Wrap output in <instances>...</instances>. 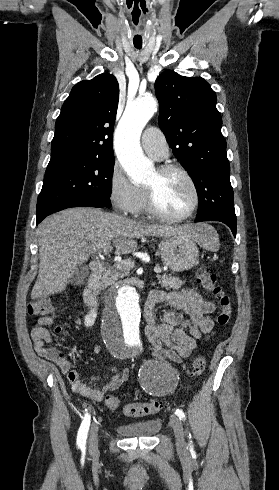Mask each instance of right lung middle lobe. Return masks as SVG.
Here are the masks:
<instances>
[{
    "instance_id": "right-lung-middle-lobe-1",
    "label": "right lung middle lobe",
    "mask_w": 279,
    "mask_h": 490,
    "mask_svg": "<svg viewBox=\"0 0 279 490\" xmlns=\"http://www.w3.org/2000/svg\"><path fill=\"white\" fill-rule=\"evenodd\" d=\"M113 153L49 163L37 200V215L59 202L86 198L110 208Z\"/></svg>"
}]
</instances>
